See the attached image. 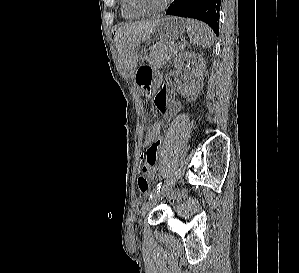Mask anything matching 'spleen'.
I'll use <instances>...</instances> for the list:
<instances>
[{
    "mask_svg": "<svg viewBox=\"0 0 299 273\" xmlns=\"http://www.w3.org/2000/svg\"><path fill=\"white\" fill-rule=\"evenodd\" d=\"M185 24L189 38L193 43L202 46L204 49L212 46L214 41L213 31L208 25L191 19H187Z\"/></svg>",
    "mask_w": 299,
    "mask_h": 273,
    "instance_id": "spleen-1",
    "label": "spleen"
}]
</instances>
